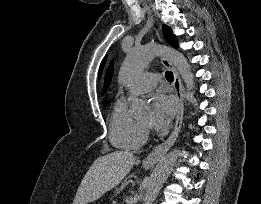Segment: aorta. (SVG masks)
I'll list each match as a JSON object with an SVG mask.
<instances>
[{
    "label": "aorta",
    "mask_w": 261,
    "mask_h": 204,
    "mask_svg": "<svg viewBox=\"0 0 261 204\" xmlns=\"http://www.w3.org/2000/svg\"><path fill=\"white\" fill-rule=\"evenodd\" d=\"M158 56H165L175 66L181 75L187 91L194 88V76L186 58L179 51L157 44H147L139 48H134L127 53V56L120 68L119 78L121 82L129 85L148 66V64ZM191 96H192V92ZM149 111V104L140 98H131L130 113L133 117L145 116ZM179 150L175 149L164 156L154 168L148 183L145 187L143 204H152L168 176L172 172L178 158Z\"/></svg>",
    "instance_id": "762f6f07"
}]
</instances>
